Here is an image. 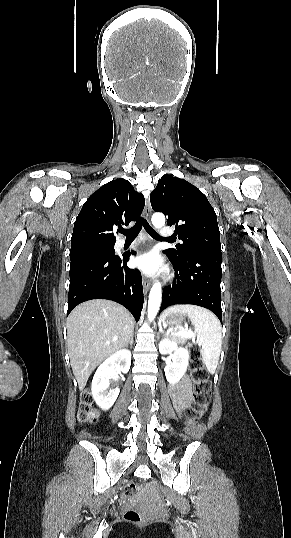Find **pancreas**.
Returning a JSON list of instances; mask_svg holds the SVG:
<instances>
[{"instance_id":"1","label":"pancreas","mask_w":291,"mask_h":538,"mask_svg":"<svg viewBox=\"0 0 291 538\" xmlns=\"http://www.w3.org/2000/svg\"><path fill=\"white\" fill-rule=\"evenodd\" d=\"M170 339H172L173 341L179 343V344H184L186 343L187 341V337H184V336H181L179 334H171V335H167Z\"/></svg>"}]
</instances>
